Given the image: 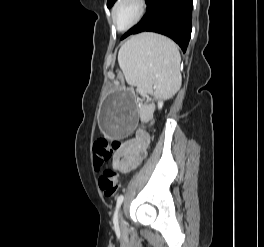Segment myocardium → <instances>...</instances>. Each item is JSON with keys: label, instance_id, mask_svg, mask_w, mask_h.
Listing matches in <instances>:
<instances>
[{"label": "myocardium", "instance_id": "1", "mask_svg": "<svg viewBox=\"0 0 264 247\" xmlns=\"http://www.w3.org/2000/svg\"><path fill=\"white\" fill-rule=\"evenodd\" d=\"M127 1H131L135 4L136 14H135V17L132 19V21L128 25L124 27H120L115 21V15H116L118 8ZM146 11H147L146 0H116L111 9V22L117 30L126 31L132 28L133 26H135L143 18Z\"/></svg>", "mask_w": 264, "mask_h": 247}]
</instances>
